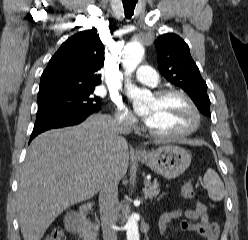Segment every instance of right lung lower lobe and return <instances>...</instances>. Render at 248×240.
<instances>
[{
  "instance_id": "1",
  "label": "right lung lower lobe",
  "mask_w": 248,
  "mask_h": 240,
  "mask_svg": "<svg viewBox=\"0 0 248 240\" xmlns=\"http://www.w3.org/2000/svg\"><path fill=\"white\" fill-rule=\"evenodd\" d=\"M94 112L97 111H73L63 108L38 109L30 141L46 130L79 124Z\"/></svg>"
}]
</instances>
